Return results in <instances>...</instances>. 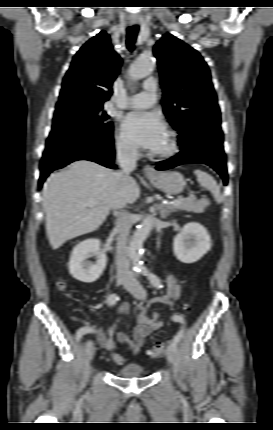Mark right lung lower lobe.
Listing matches in <instances>:
<instances>
[{
	"instance_id": "right-lung-lower-lobe-1",
	"label": "right lung lower lobe",
	"mask_w": 273,
	"mask_h": 430,
	"mask_svg": "<svg viewBox=\"0 0 273 430\" xmlns=\"http://www.w3.org/2000/svg\"><path fill=\"white\" fill-rule=\"evenodd\" d=\"M77 160L94 161L108 168H114L113 142L107 145L92 143L43 156L40 166L41 175L38 182L39 187L42 186L46 177L53 170L62 168Z\"/></svg>"
}]
</instances>
